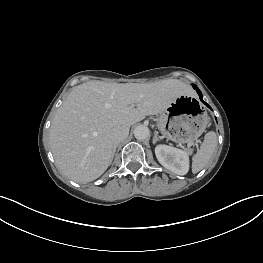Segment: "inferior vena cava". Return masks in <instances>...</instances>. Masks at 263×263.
I'll return each mask as SVG.
<instances>
[{
  "label": "inferior vena cava",
  "mask_w": 263,
  "mask_h": 263,
  "mask_svg": "<svg viewBox=\"0 0 263 263\" xmlns=\"http://www.w3.org/2000/svg\"><path fill=\"white\" fill-rule=\"evenodd\" d=\"M129 134V127L127 126H118L113 129L111 134V139L114 144H119L122 140H124Z\"/></svg>",
  "instance_id": "602c4592"
}]
</instances>
